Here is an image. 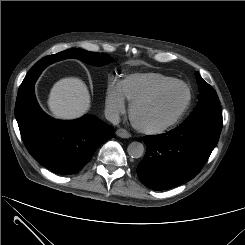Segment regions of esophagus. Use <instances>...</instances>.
<instances>
[{"instance_id": "1", "label": "esophagus", "mask_w": 245, "mask_h": 245, "mask_svg": "<svg viewBox=\"0 0 245 245\" xmlns=\"http://www.w3.org/2000/svg\"><path fill=\"white\" fill-rule=\"evenodd\" d=\"M116 135L121 137V138H130L131 137V134L127 130H125L123 128L117 129L116 130Z\"/></svg>"}]
</instances>
